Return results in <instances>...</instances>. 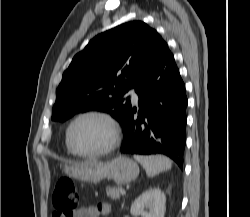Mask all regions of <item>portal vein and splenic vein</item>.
I'll use <instances>...</instances> for the list:
<instances>
[{
  "mask_svg": "<svg viewBox=\"0 0 250 217\" xmlns=\"http://www.w3.org/2000/svg\"><path fill=\"white\" fill-rule=\"evenodd\" d=\"M121 194H122V195H125V194H126V191H125V190H122V191H121Z\"/></svg>",
  "mask_w": 250,
  "mask_h": 217,
  "instance_id": "obj_1",
  "label": "portal vein and splenic vein"
}]
</instances>
